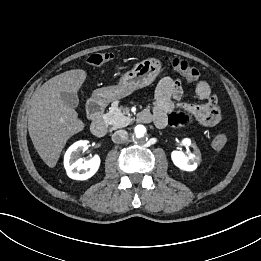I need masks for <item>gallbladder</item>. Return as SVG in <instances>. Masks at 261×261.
<instances>
[{
	"label": "gallbladder",
	"instance_id": "obj_1",
	"mask_svg": "<svg viewBox=\"0 0 261 261\" xmlns=\"http://www.w3.org/2000/svg\"><path fill=\"white\" fill-rule=\"evenodd\" d=\"M61 99L66 106L71 108H76L79 104V98L75 93L62 92Z\"/></svg>",
	"mask_w": 261,
	"mask_h": 261
}]
</instances>
